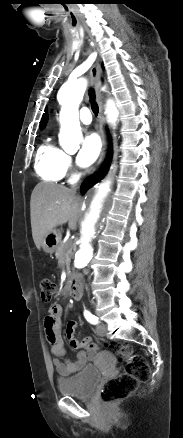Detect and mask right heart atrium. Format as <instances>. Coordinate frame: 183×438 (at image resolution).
Masks as SVG:
<instances>
[{
	"label": "right heart atrium",
	"instance_id": "1",
	"mask_svg": "<svg viewBox=\"0 0 183 438\" xmlns=\"http://www.w3.org/2000/svg\"><path fill=\"white\" fill-rule=\"evenodd\" d=\"M65 168H66V171H70L73 169V160H72V157L69 155H66V158H65Z\"/></svg>",
	"mask_w": 183,
	"mask_h": 438
}]
</instances>
